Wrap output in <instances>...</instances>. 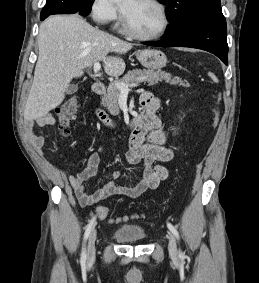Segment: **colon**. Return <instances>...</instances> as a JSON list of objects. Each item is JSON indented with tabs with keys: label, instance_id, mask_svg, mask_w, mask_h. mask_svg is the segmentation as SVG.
Wrapping results in <instances>:
<instances>
[{
	"label": "colon",
	"instance_id": "1",
	"mask_svg": "<svg viewBox=\"0 0 259 283\" xmlns=\"http://www.w3.org/2000/svg\"><path fill=\"white\" fill-rule=\"evenodd\" d=\"M215 107L213 109L212 126H215L218 121V94L214 93ZM79 110V101L76 96L67 98L57 112V119L59 122V128L62 135L66 136L69 133V128L72 124L74 116ZM108 209L106 207H100L98 210V217L101 220H105L108 217Z\"/></svg>",
	"mask_w": 259,
	"mask_h": 283
}]
</instances>
